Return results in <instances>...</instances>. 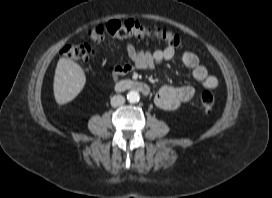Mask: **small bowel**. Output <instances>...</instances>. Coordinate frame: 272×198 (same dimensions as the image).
<instances>
[{"instance_id": "c3829d8e", "label": "small bowel", "mask_w": 272, "mask_h": 198, "mask_svg": "<svg viewBox=\"0 0 272 198\" xmlns=\"http://www.w3.org/2000/svg\"><path fill=\"white\" fill-rule=\"evenodd\" d=\"M125 50L130 63L116 66L112 70L111 76L114 81L134 69H152L163 62L178 60L191 71L193 78L204 89H214L218 85L217 78L208 73L206 67L200 63L198 56L192 52L178 54L171 46L151 51L139 48L131 42L126 43ZM195 92V88L190 85H165L157 91L155 103L163 110L172 111L190 101Z\"/></svg>"}]
</instances>
